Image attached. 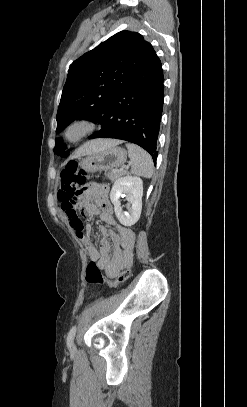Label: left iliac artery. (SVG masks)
<instances>
[{
    "label": "left iliac artery",
    "instance_id": "1",
    "mask_svg": "<svg viewBox=\"0 0 247 407\" xmlns=\"http://www.w3.org/2000/svg\"><path fill=\"white\" fill-rule=\"evenodd\" d=\"M75 333H76V326H73L70 329V331L68 333V336H67V346H68V348H71V346H72Z\"/></svg>",
    "mask_w": 247,
    "mask_h": 407
}]
</instances>
